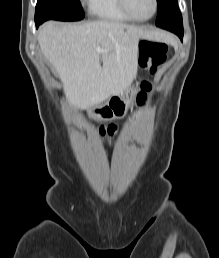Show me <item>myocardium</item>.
Here are the masks:
<instances>
[{"mask_svg":"<svg viewBox=\"0 0 219 258\" xmlns=\"http://www.w3.org/2000/svg\"><path fill=\"white\" fill-rule=\"evenodd\" d=\"M153 1H154V10H153L152 14L150 16L146 17V18H138V17L134 16L129 9L128 0H119V5H120L121 10L124 12V14L130 20L136 21V22H146V21L151 20L156 15V13L158 12L159 1L158 0H153Z\"/></svg>","mask_w":219,"mask_h":258,"instance_id":"obj_1","label":"myocardium"}]
</instances>
